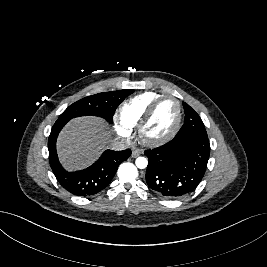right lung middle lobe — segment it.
<instances>
[{
  "label": "right lung middle lobe",
  "instance_id": "dd1d6c3e",
  "mask_svg": "<svg viewBox=\"0 0 267 267\" xmlns=\"http://www.w3.org/2000/svg\"><path fill=\"white\" fill-rule=\"evenodd\" d=\"M133 92V89H124L85 97L70 105L59 116L56 124L67 123L72 118L86 115L100 116L111 122L116 108Z\"/></svg>",
  "mask_w": 267,
  "mask_h": 267
}]
</instances>
